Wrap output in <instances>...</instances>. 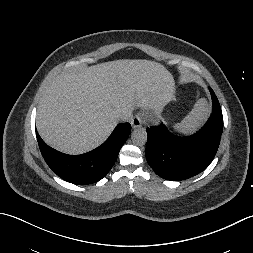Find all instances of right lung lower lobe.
Wrapping results in <instances>:
<instances>
[{"instance_id":"obj_1","label":"right lung lower lobe","mask_w":253,"mask_h":253,"mask_svg":"<svg viewBox=\"0 0 253 253\" xmlns=\"http://www.w3.org/2000/svg\"><path fill=\"white\" fill-rule=\"evenodd\" d=\"M131 131L129 123L119 124L108 140L97 149L83 155H67L49 147L36 132L41 154L62 179L78 185L92 184L107 175Z\"/></svg>"}]
</instances>
